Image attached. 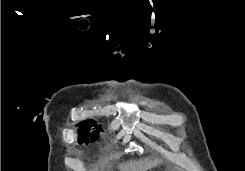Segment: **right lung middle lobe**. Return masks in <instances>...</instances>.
Instances as JSON below:
<instances>
[{"label": "right lung middle lobe", "instance_id": "obj_1", "mask_svg": "<svg viewBox=\"0 0 245 171\" xmlns=\"http://www.w3.org/2000/svg\"><path fill=\"white\" fill-rule=\"evenodd\" d=\"M93 125H95L94 121H84L79 124V126L82 128V130H80L79 132V139H78V142L80 144L82 143L87 144L89 141L94 142L99 137L98 136L99 130L102 131L100 127L95 126L97 130H95L92 133L89 132V129L93 127Z\"/></svg>", "mask_w": 245, "mask_h": 171}]
</instances>
